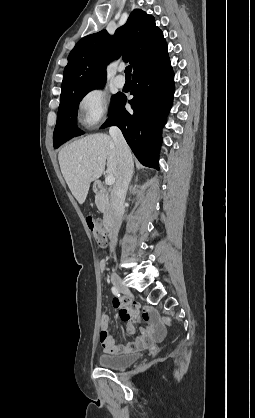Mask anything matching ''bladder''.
Returning a JSON list of instances; mask_svg holds the SVG:
<instances>
[{
	"label": "bladder",
	"instance_id": "31cf9c89",
	"mask_svg": "<svg viewBox=\"0 0 255 418\" xmlns=\"http://www.w3.org/2000/svg\"><path fill=\"white\" fill-rule=\"evenodd\" d=\"M140 357L137 352L121 354V355H109L104 354L99 356V365L103 368L119 370L124 369L133 363H135Z\"/></svg>",
	"mask_w": 255,
	"mask_h": 418
}]
</instances>
